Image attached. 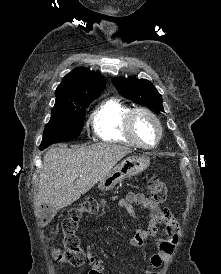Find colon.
<instances>
[{
    "mask_svg": "<svg viewBox=\"0 0 221 274\" xmlns=\"http://www.w3.org/2000/svg\"><path fill=\"white\" fill-rule=\"evenodd\" d=\"M147 188L154 202H163L167 196L166 184L155 175L147 178ZM103 201L96 198L86 199L80 207L73 208L63 219L61 227L63 232V250H55V257L72 267L83 265L88 259L87 253L82 249L77 236L78 225L84 214L96 213Z\"/></svg>",
    "mask_w": 221,
    "mask_h": 274,
    "instance_id": "5ec220e1",
    "label": "colon"
}]
</instances>
